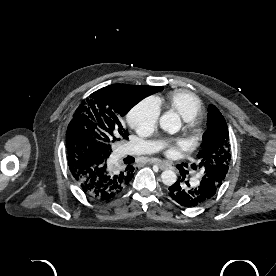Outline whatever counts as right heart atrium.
I'll use <instances>...</instances> for the list:
<instances>
[{"instance_id": "right-heart-atrium-1", "label": "right heart atrium", "mask_w": 276, "mask_h": 276, "mask_svg": "<svg viewBox=\"0 0 276 276\" xmlns=\"http://www.w3.org/2000/svg\"><path fill=\"white\" fill-rule=\"evenodd\" d=\"M160 107L156 100L145 99L136 104L128 113L129 125L141 135L151 134L157 127Z\"/></svg>"}]
</instances>
